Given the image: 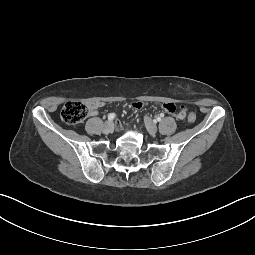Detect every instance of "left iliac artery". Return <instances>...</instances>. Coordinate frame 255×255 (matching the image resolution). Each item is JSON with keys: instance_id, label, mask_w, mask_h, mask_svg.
I'll return each mask as SVG.
<instances>
[{"instance_id": "44dca946", "label": "left iliac artery", "mask_w": 255, "mask_h": 255, "mask_svg": "<svg viewBox=\"0 0 255 255\" xmlns=\"http://www.w3.org/2000/svg\"><path fill=\"white\" fill-rule=\"evenodd\" d=\"M156 120H157V121H160V120H161V118H158V117H157V118H156Z\"/></svg>"}]
</instances>
